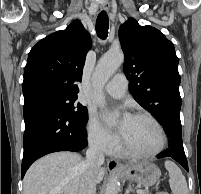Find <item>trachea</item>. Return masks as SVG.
<instances>
[{
	"label": "trachea",
	"instance_id": "obj_1",
	"mask_svg": "<svg viewBox=\"0 0 201 194\" xmlns=\"http://www.w3.org/2000/svg\"><path fill=\"white\" fill-rule=\"evenodd\" d=\"M109 18L105 11L100 12L96 20V32L100 39L105 40L108 36Z\"/></svg>",
	"mask_w": 201,
	"mask_h": 194
}]
</instances>
